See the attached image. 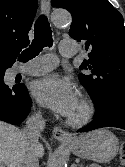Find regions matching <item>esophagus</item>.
Wrapping results in <instances>:
<instances>
[{
	"label": "esophagus",
	"mask_w": 125,
	"mask_h": 167,
	"mask_svg": "<svg viewBox=\"0 0 125 167\" xmlns=\"http://www.w3.org/2000/svg\"><path fill=\"white\" fill-rule=\"evenodd\" d=\"M50 12V0H41V13L44 15H49ZM53 136L57 140H70L72 139L71 134L65 132L60 127H54Z\"/></svg>",
	"instance_id": "34e87169"
}]
</instances>
